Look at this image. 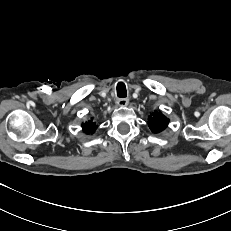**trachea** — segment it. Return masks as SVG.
<instances>
[{"instance_id": "trachea-1", "label": "trachea", "mask_w": 231, "mask_h": 231, "mask_svg": "<svg viewBox=\"0 0 231 231\" xmlns=\"http://www.w3.org/2000/svg\"><path fill=\"white\" fill-rule=\"evenodd\" d=\"M117 96L120 98H125L127 96L126 86L123 83H119L117 86Z\"/></svg>"}]
</instances>
